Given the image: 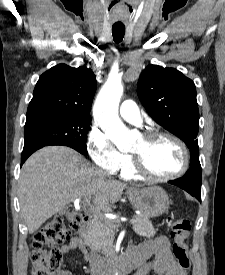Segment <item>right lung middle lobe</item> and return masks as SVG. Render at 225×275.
I'll list each match as a JSON object with an SVG mask.
<instances>
[{"mask_svg": "<svg viewBox=\"0 0 225 275\" xmlns=\"http://www.w3.org/2000/svg\"><path fill=\"white\" fill-rule=\"evenodd\" d=\"M89 115L41 114L26 118L24 148L48 145L68 146L87 155Z\"/></svg>", "mask_w": 225, "mask_h": 275, "instance_id": "1", "label": "right lung middle lobe"}]
</instances>
